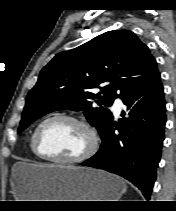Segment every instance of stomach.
Segmentation results:
<instances>
[{
	"label": "stomach",
	"instance_id": "0dacf381",
	"mask_svg": "<svg viewBox=\"0 0 176 211\" xmlns=\"http://www.w3.org/2000/svg\"><path fill=\"white\" fill-rule=\"evenodd\" d=\"M11 187L17 201H118L127 188L102 170L21 162L13 167Z\"/></svg>",
	"mask_w": 176,
	"mask_h": 211
}]
</instances>
